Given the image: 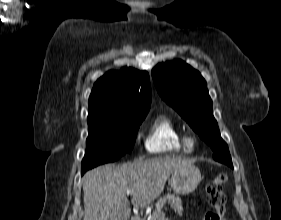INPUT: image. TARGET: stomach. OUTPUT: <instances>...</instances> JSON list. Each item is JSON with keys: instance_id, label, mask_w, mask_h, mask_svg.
Here are the masks:
<instances>
[{"instance_id": "0dacf381", "label": "stomach", "mask_w": 281, "mask_h": 220, "mask_svg": "<svg viewBox=\"0 0 281 220\" xmlns=\"http://www.w3.org/2000/svg\"><path fill=\"white\" fill-rule=\"evenodd\" d=\"M201 181L200 170L190 165L186 168L176 170L172 173L170 184L178 194H189L193 192Z\"/></svg>"}]
</instances>
